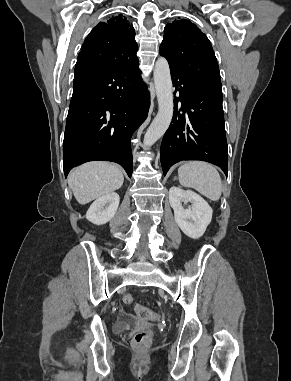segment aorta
<instances>
[{
	"mask_svg": "<svg viewBox=\"0 0 291 381\" xmlns=\"http://www.w3.org/2000/svg\"><path fill=\"white\" fill-rule=\"evenodd\" d=\"M153 76L158 100V113L144 135V147L152 146L164 135L173 117L172 81L169 64L164 57H160L156 61Z\"/></svg>",
	"mask_w": 291,
	"mask_h": 381,
	"instance_id": "obj_1",
	"label": "aorta"
}]
</instances>
